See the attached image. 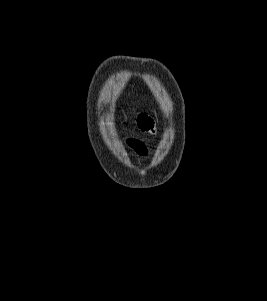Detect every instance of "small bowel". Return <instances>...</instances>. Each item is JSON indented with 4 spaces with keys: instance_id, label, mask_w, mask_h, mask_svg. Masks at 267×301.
I'll return each mask as SVG.
<instances>
[{
    "instance_id": "c3829d8e",
    "label": "small bowel",
    "mask_w": 267,
    "mask_h": 301,
    "mask_svg": "<svg viewBox=\"0 0 267 301\" xmlns=\"http://www.w3.org/2000/svg\"><path fill=\"white\" fill-rule=\"evenodd\" d=\"M137 125L142 132H147L151 134L155 132V125L153 119L145 113L138 115ZM126 144L131 150H133L138 155L146 156L148 154V148L146 144L138 138H129L126 141Z\"/></svg>"
}]
</instances>
